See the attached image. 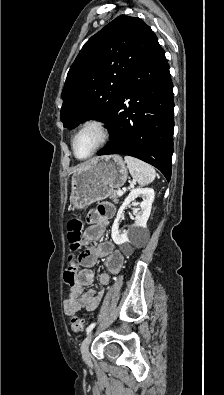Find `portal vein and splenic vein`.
I'll use <instances>...</instances> for the list:
<instances>
[{
  "label": "portal vein and splenic vein",
  "instance_id": "1",
  "mask_svg": "<svg viewBox=\"0 0 224 395\" xmlns=\"http://www.w3.org/2000/svg\"><path fill=\"white\" fill-rule=\"evenodd\" d=\"M117 195L118 196H122L123 195V191L122 190H118Z\"/></svg>",
  "mask_w": 224,
  "mask_h": 395
}]
</instances>
